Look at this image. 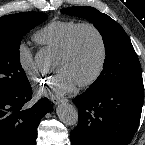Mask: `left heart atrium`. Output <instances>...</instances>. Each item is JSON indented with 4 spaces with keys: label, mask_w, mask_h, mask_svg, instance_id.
<instances>
[{
    "label": "left heart atrium",
    "mask_w": 145,
    "mask_h": 145,
    "mask_svg": "<svg viewBox=\"0 0 145 145\" xmlns=\"http://www.w3.org/2000/svg\"><path fill=\"white\" fill-rule=\"evenodd\" d=\"M77 84L73 76L63 70L47 78L46 82L37 89V93L39 95L58 97L73 91Z\"/></svg>",
    "instance_id": "39dd6f15"
}]
</instances>
